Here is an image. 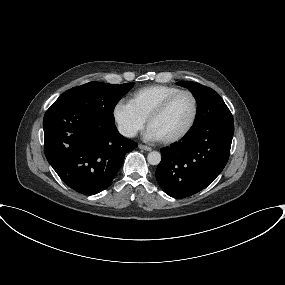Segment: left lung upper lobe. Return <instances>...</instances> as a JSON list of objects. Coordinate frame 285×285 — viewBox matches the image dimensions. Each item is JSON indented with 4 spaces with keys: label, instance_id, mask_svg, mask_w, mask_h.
Instances as JSON below:
<instances>
[{
    "label": "left lung upper lobe",
    "instance_id": "left-lung-upper-lobe-1",
    "mask_svg": "<svg viewBox=\"0 0 285 285\" xmlns=\"http://www.w3.org/2000/svg\"><path fill=\"white\" fill-rule=\"evenodd\" d=\"M177 84L188 88L197 101V113L192 129L215 121H233L230 110L213 89L191 81H180Z\"/></svg>",
    "mask_w": 285,
    "mask_h": 285
}]
</instances>
